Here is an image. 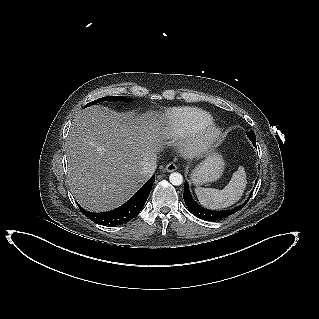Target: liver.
Here are the masks:
<instances>
[{
	"instance_id": "obj_1",
	"label": "liver",
	"mask_w": 319,
	"mask_h": 319,
	"mask_svg": "<svg viewBox=\"0 0 319 319\" xmlns=\"http://www.w3.org/2000/svg\"><path fill=\"white\" fill-rule=\"evenodd\" d=\"M162 125L153 112L135 116L100 105L74 117L65 151L78 203L90 212H106L134 195L151 176L142 172V160L165 145Z\"/></svg>"
}]
</instances>
